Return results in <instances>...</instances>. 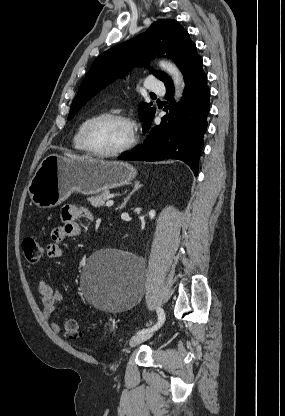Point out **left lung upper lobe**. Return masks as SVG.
<instances>
[{"instance_id":"left-lung-upper-lobe-1","label":"left lung upper lobe","mask_w":285,"mask_h":416,"mask_svg":"<svg viewBox=\"0 0 285 416\" xmlns=\"http://www.w3.org/2000/svg\"><path fill=\"white\" fill-rule=\"evenodd\" d=\"M162 56L173 60L181 71L199 57L196 53V45L176 20L161 19L153 22L145 33L114 46L96 58L72 102L68 119H71L87 101L121 74H126L135 65H147L154 57ZM152 72L164 84L172 82L164 72L154 70ZM151 105L152 103L140 104L139 114L145 125L155 114V109Z\"/></svg>"}]
</instances>
